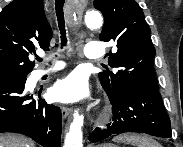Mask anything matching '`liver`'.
I'll list each match as a JSON object with an SVG mask.
<instances>
[{
	"mask_svg": "<svg viewBox=\"0 0 183 147\" xmlns=\"http://www.w3.org/2000/svg\"><path fill=\"white\" fill-rule=\"evenodd\" d=\"M0 147H35L33 141L20 135H0Z\"/></svg>",
	"mask_w": 183,
	"mask_h": 147,
	"instance_id": "obj_1",
	"label": "liver"
}]
</instances>
